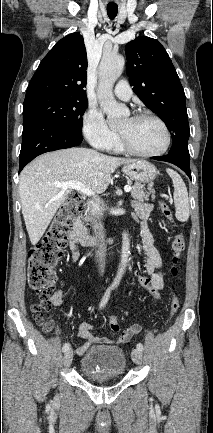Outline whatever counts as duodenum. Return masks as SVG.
I'll return each mask as SVG.
<instances>
[{
	"label": "duodenum",
	"mask_w": 213,
	"mask_h": 433,
	"mask_svg": "<svg viewBox=\"0 0 213 433\" xmlns=\"http://www.w3.org/2000/svg\"><path fill=\"white\" fill-rule=\"evenodd\" d=\"M73 232L75 233L78 242L85 247L95 246L101 243L112 244L116 241L115 237L102 238L98 235L87 233L83 228L79 217H76L73 222Z\"/></svg>",
	"instance_id": "410a0bca"
}]
</instances>
